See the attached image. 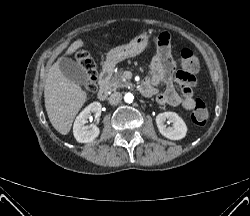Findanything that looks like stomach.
<instances>
[{
    "mask_svg": "<svg viewBox=\"0 0 250 216\" xmlns=\"http://www.w3.org/2000/svg\"><path fill=\"white\" fill-rule=\"evenodd\" d=\"M150 48L149 37L141 34L132 39L128 44L111 49L106 55V64L114 67L121 61L135 57Z\"/></svg>",
    "mask_w": 250,
    "mask_h": 216,
    "instance_id": "1",
    "label": "stomach"
}]
</instances>
